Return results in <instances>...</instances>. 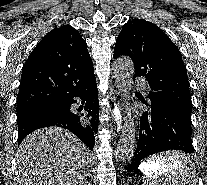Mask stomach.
Segmentation results:
<instances>
[{"instance_id": "1", "label": "stomach", "mask_w": 207, "mask_h": 185, "mask_svg": "<svg viewBox=\"0 0 207 185\" xmlns=\"http://www.w3.org/2000/svg\"><path fill=\"white\" fill-rule=\"evenodd\" d=\"M159 165H157L156 162H143L140 166H139V171L141 173H143L144 175L147 174H154V172L157 170H159Z\"/></svg>"}]
</instances>
